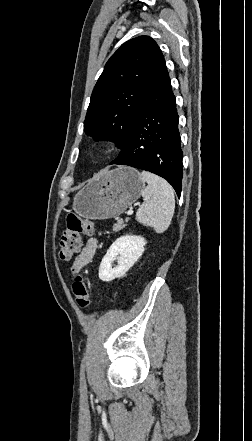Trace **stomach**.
I'll return each instance as SVG.
<instances>
[{
  "instance_id": "stomach-1",
  "label": "stomach",
  "mask_w": 252,
  "mask_h": 441,
  "mask_svg": "<svg viewBox=\"0 0 252 441\" xmlns=\"http://www.w3.org/2000/svg\"><path fill=\"white\" fill-rule=\"evenodd\" d=\"M144 188L145 182L136 169L121 166L104 172L80 190L73 209L87 219L114 218L136 202Z\"/></svg>"
}]
</instances>
